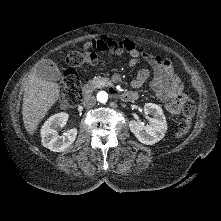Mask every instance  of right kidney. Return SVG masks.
I'll return each mask as SVG.
<instances>
[{
  "label": "right kidney",
  "mask_w": 221,
  "mask_h": 221,
  "mask_svg": "<svg viewBox=\"0 0 221 221\" xmlns=\"http://www.w3.org/2000/svg\"><path fill=\"white\" fill-rule=\"evenodd\" d=\"M69 115L61 112L52 115L41 128L42 145L51 151L62 152L70 147L76 139V128L66 131L62 136L58 135L57 128L63 127L68 121Z\"/></svg>",
  "instance_id": "ca27d5eb"
}]
</instances>
